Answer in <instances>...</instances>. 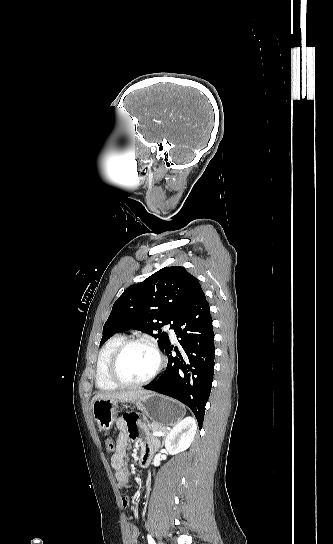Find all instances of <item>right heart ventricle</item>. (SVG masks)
<instances>
[{
    "label": "right heart ventricle",
    "instance_id": "obj_1",
    "mask_svg": "<svg viewBox=\"0 0 333 544\" xmlns=\"http://www.w3.org/2000/svg\"><path fill=\"white\" fill-rule=\"evenodd\" d=\"M126 340L125 335L116 334L111 336L101 346L96 360L95 384L102 391H112L118 388L108 377L107 369L109 360L115 349Z\"/></svg>",
    "mask_w": 333,
    "mask_h": 544
}]
</instances>
